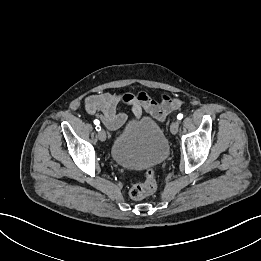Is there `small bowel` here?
<instances>
[{
  "label": "small bowel",
  "mask_w": 261,
  "mask_h": 261,
  "mask_svg": "<svg viewBox=\"0 0 261 261\" xmlns=\"http://www.w3.org/2000/svg\"><path fill=\"white\" fill-rule=\"evenodd\" d=\"M123 105L131 107L136 119L147 111L155 120L162 122L169 113L180 107L181 100L164 94L157 102L145 92H104L90 95L85 100L86 112L99 118L111 131L119 129L127 120V114L121 110Z\"/></svg>",
  "instance_id": "small-bowel-1"
}]
</instances>
